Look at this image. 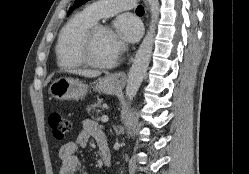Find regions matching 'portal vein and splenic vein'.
<instances>
[{
  "label": "portal vein and splenic vein",
  "instance_id": "1",
  "mask_svg": "<svg viewBox=\"0 0 249 174\" xmlns=\"http://www.w3.org/2000/svg\"><path fill=\"white\" fill-rule=\"evenodd\" d=\"M101 121L104 122V123L108 122V116L107 115H103L101 117Z\"/></svg>",
  "mask_w": 249,
  "mask_h": 174
}]
</instances>
